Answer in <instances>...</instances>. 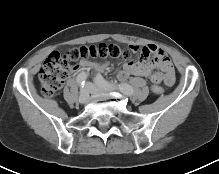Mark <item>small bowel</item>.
Here are the masks:
<instances>
[{"label":"small bowel","mask_w":219,"mask_h":174,"mask_svg":"<svg viewBox=\"0 0 219 174\" xmlns=\"http://www.w3.org/2000/svg\"><path fill=\"white\" fill-rule=\"evenodd\" d=\"M129 48L137 52L139 47L130 44ZM82 68H91L95 71H103L106 68L105 63L83 62ZM153 68H158L162 72H152ZM130 75L150 77L152 82H164L167 86H172L175 82L174 68L167 54L158 46L149 44L143 47L141 61L139 63L126 62L123 70L118 74L119 80H126Z\"/></svg>","instance_id":"obj_1"}]
</instances>
